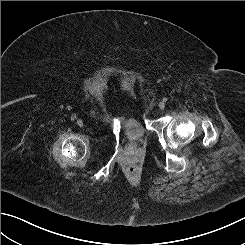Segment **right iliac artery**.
<instances>
[{
  "instance_id": "obj_1",
  "label": "right iliac artery",
  "mask_w": 245,
  "mask_h": 245,
  "mask_svg": "<svg viewBox=\"0 0 245 245\" xmlns=\"http://www.w3.org/2000/svg\"><path fill=\"white\" fill-rule=\"evenodd\" d=\"M72 121H74L75 119H76V116H71V118H70Z\"/></svg>"
}]
</instances>
